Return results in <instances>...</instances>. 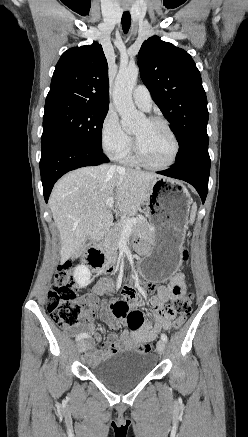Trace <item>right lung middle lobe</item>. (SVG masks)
I'll list each match as a JSON object with an SVG mask.
<instances>
[{
	"mask_svg": "<svg viewBox=\"0 0 248 437\" xmlns=\"http://www.w3.org/2000/svg\"><path fill=\"white\" fill-rule=\"evenodd\" d=\"M108 109L69 101H46L41 143L51 138H70L102 150L103 121Z\"/></svg>",
	"mask_w": 248,
	"mask_h": 437,
	"instance_id": "dd1d6c3e",
	"label": "right lung middle lobe"
}]
</instances>
